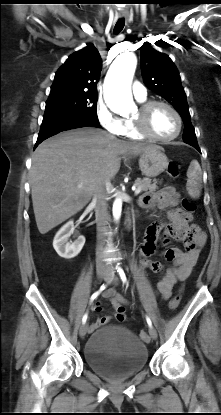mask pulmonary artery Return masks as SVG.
I'll return each mask as SVG.
<instances>
[{
    "label": "pulmonary artery",
    "mask_w": 221,
    "mask_h": 415,
    "mask_svg": "<svg viewBox=\"0 0 221 415\" xmlns=\"http://www.w3.org/2000/svg\"><path fill=\"white\" fill-rule=\"evenodd\" d=\"M134 96L137 100H144L147 97V90L143 84L135 81L132 86Z\"/></svg>",
    "instance_id": "1"
}]
</instances>
